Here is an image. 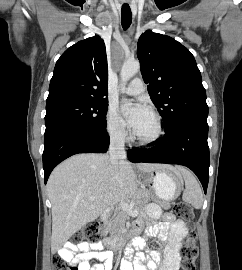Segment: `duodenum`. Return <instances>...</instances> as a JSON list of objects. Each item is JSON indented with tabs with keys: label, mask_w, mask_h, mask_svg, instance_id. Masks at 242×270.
<instances>
[{
	"label": "duodenum",
	"mask_w": 242,
	"mask_h": 270,
	"mask_svg": "<svg viewBox=\"0 0 242 270\" xmlns=\"http://www.w3.org/2000/svg\"><path fill=\"white\" fill-rule=\"evenodd\" d=\"M109 210H105L101 215V220L106 222L109 217ZM133 240V233H127L124 235H115L110 239L106 240V243L110 248L116 250L122 248L126 243L131 242Z\"/></svg>",
	"instance_id": "duodenum-1"
}]
</instances>
